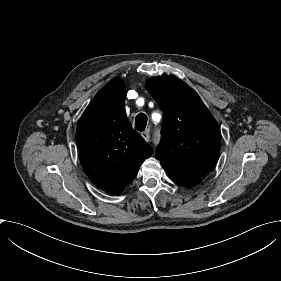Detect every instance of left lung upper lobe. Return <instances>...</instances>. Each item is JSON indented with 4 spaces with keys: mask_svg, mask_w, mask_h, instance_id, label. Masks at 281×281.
<instances>
[{
    "mask_svg": "<svg viewBox=\"0 0 281 281\" xmlns=\"http://www.w3.org/2000/svg\"><path fill=\"white\" fill-rule=\"evenodd\" d=\"M146 89L163 111L156 148L161 165L185 173L210 172L219 158L221 133L199 95L170 75L148 79Z\"/></svg>",
    "mask_w": 281,
    "mask_h": 281,
    "instance_id": "left-lung-upper-lobe-1",
    "label": "left lung upper lobe"
}]
</instances>
